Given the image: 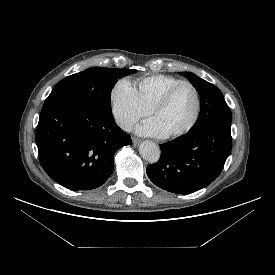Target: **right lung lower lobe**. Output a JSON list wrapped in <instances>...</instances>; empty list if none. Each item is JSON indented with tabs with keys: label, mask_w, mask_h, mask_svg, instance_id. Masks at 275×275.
Here are the masks:
<instances>
[{
	"label": "right lung lower lobe",
	"mask_w": 275,
	"mask_h": 275,
	"mask_svg": "<svg viewBox=\"0 0 275 275\" xmlns=\"http://www.w3.org/2000/svg\"><path fill=\"white\" fill-rule=\"evenodd\" d=\"M40 163L57 183L71 190L103 185L113 172V157L131 137L113 115L91 104L44 105L36 131Z\"/></svg>",
	"instance_id": "98d812e1"
}]
</instances>
